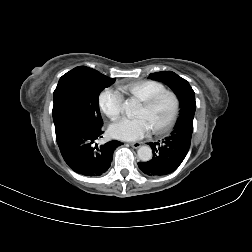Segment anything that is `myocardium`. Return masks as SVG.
I'll return each instance as SVG.
<instances>
[{"label": "myocardium", "instance_id": "1", "mask_svg": "<svg viewBox=\"0 0 252 252\" xmlns=\"http://www.w3.org/2000/svg\"><path fill=\"white\" fill-rule=\"evenodd\" d=\"M163 95H170L173 98L174 108L168 122L162 128L151 130V133L154 135H164V134L169 133L172 130L178 118V114L180 110V99L174 91L165 89V90H162L153 94L152 96H150L149 98L141 102L142 106L149 108Z\"/></svg>", "mask_w": 252, "mask_h": 252}]
</instances>
